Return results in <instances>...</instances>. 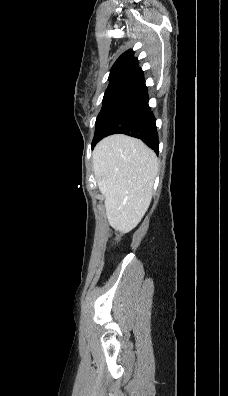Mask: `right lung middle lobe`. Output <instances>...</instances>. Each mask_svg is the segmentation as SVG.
<instances>
[{"mask_svg":"<svg viewBox=\"0 0 228 396\" xmlns=\"http://www.w3.org/2000/svg\"><path fill=\"white\" fill-rule=\"evenodd\" d=\"M124 88L125 87H123V86H108V88L104 94L103 105H102L100 113L97 116L96 123L99 120V118L102 116L104 111L107 109L109 104L121 93V91Z\"/></svg>","mask_w":228,"mask_h":396,"instance_id":"right-lung-middle-lobe-1","label":"right lung middle lobe"}]
</instances>
